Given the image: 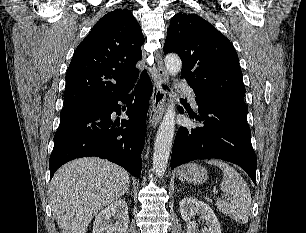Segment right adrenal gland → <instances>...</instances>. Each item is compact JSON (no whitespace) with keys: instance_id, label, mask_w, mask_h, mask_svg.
<instances>
[{"instance_id":"right-adrenal-gland-1","label":"right adrenal gland","mask_w":306,"mask_h":233,"mask_svg":"<svg viewBox=\"0 0 306 233\" xmlns=\"http://www.w3.org/2000/svg\"><path fill=\"white\" fill-rule=\"evenodd\" d=\"M126 193H129V194H131V192H130V189H129V188L127 189Z\"/></svg>"}]
</instances>
